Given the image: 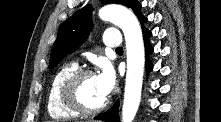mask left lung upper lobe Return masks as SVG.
Wrapping results in <instances>:
<instances>
[{"label":"left lung upper lobe","mask_w":221,"mask_h":122,"mask_svg":"<svg viewBox=\"0 0 221 122\" xmlns=\"http://www.w3.org/2000/svg\"><path fill=\"white\" fill-rule=\"evenodd\" d=\"M102 3H117L133 8L137 0H101ZM92 8L87 5L69 19L65 20L59 28L57 39L51 51L49 68H54L66 57L67 54L75 51L87 38L92 26Z\"/></svg>","instance_id":"left-lung-upper-lobe-1"}]
</instances>
